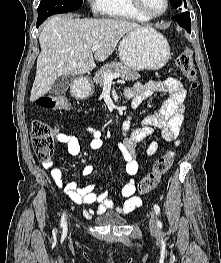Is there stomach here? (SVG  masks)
<instances>
[{
  "instance_id": "obj_1",
  "label": "stomach",
  "mask_w": 221,
  "mask_h": 263,
  "mask_svg": "<svg viewBox=\"0 0 221 263\" xmlns=\"http://www.w3.org/2000/svg\"><path fill=\"white\" fill-rule=\"evenodd\" d=\"M118 55L132 70H158L170 59V46L156 30H133L120 42Z\"/></svg>"
}]
</instances>
